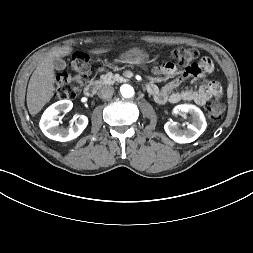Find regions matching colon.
<instances>
[{"label": "colon", "mask_w": 253, "mask_h": 253, "mask_svg": "<svg viewBox=\"0 0 253 253\" xmlns=\"http://www.w3.org/2000/svg\"><path fill=\"white\" fill-rule=\"evenodd\" d=\"M198 52L191 48H178L172 51L171 59L175 65L184 66L197 59ZM69 73L61 74L55 84V98L59 100L73 99L77 96L82 86L93 76L94 71L98 77L104 78L110 74L111 68L107 62L101 61L95 65L90 63L84 53H76L68 64ZM211 121L219 120L225 111L224 105L218 100H212L207 107Z\"/></svg>", "instance_id": "1"}]
</instances>
